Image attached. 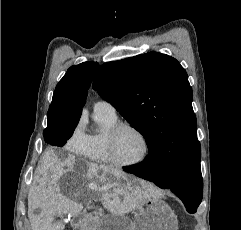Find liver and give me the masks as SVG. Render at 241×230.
<instances>
[{"label":"liver","mask_w":241,"mask_h":230,"mask_svg":"<svg viewBox=\"0 0 241 230\" xmlns=\"http://www.w3.org/2000/svg\"><path fill=\"white\" fill-rule=\"evenodd\" d=\"M46 159V169L34 178L28 193V217L32 230H63L64 225L55 223L54 217L67 214L76 216L82 210V205L70 198L71 193L61 190L60 180L70 175L77 176L80 172L73 155L69 154L61 160L50 152ZM111 175L122 177L126 183L110 182ZM82 176L86 179V185H80L73 196L81 195L85 189L97 191L101 194L103 206L116 216L135 210L150 197L146 190L134 181H127L126 175L115 168L88 163Z\"/></svg>","instance_id":"liver-1"}]
</instances>
